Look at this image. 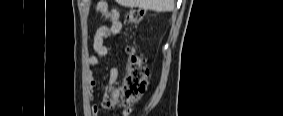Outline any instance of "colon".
<instances>
[{"label": "colon", "mask_w": 283, "mask_h": 116, "mask_svg": "<svg viewBox=\"0 0 283 116\" xmlns=\"http://www.w3.org/2000/svg\"><path fill=\"white\" fill-rule=\"evenodd\" d=\"M144 10L131 7L126 14V24L129 27L139 25L144 17ZM129 62L123 83L116 89H106L103 92L102 104L105 108L118 105L130 107L137 102L147 88V67L145 59L136 48H129Z\"/></svg>", "instance_id": "1"}]
</instances>
